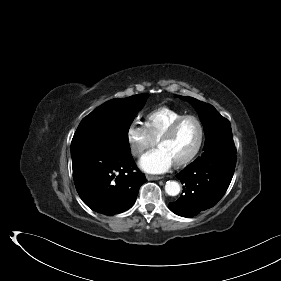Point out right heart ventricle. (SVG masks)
Here are the masks:
<instances>
[{"label": "right heart ventricle", "mask_w": 281, "mask_h": 281, "mask_svg": "<svg viewBox=\"0 0 281 281\" xmlns=\"http://www.w3.org/2000/svg\"><path fill=\"white\" fill-rule=\"evenodd\" d=\"M182 112L163 106L150 111L145 116V127L154 141H158L167 128Z\"/></svg>", "instance_id": "right-heart-ventricle-1"}]
</instances>
